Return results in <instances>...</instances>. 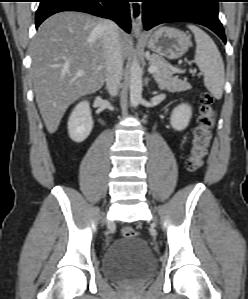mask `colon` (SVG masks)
Returning <instances> with one entry per match:
<instances>
[{"mask_svg": "<svg viewBox=\"0 0 248 299\" xmlns=\"http://www.w3.org/2000/svg\"><path fill=\"white\" fill-rule=\"evenodd\" d=\"M215 101L211 94L204 92L200 96V108L197 124L193 131L190 154L186 160V168L190 172L199 170L203 164L207 147L211 139L212 128L215 120ZM125 238H134L137 232L132 227L126 226L121 230Z\"/></svg>", "mask_w": 248, "mask_h": 299, "instance_id": "obj_1", "label": "colon"}]
</instances>
